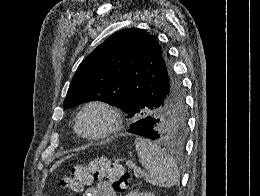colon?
<instances>
[{
    "label": "colon",
    "mask_w": 260,
    "mask_h": 196,
    "mask_svg": "<svg viewBox=\"0 0 260 196\" xmlns=\"http://www.w3.org/2000/svg\"><path fill=\"white\" fill-rule=\"evenodd\" d=\"M129 177L125 165L108 159H96L88 165L75 168L74 172L61 180L62 185L78 189L93 182H110L116 190L124 189Z\"/></svg>",
    "instance_id": "5ec220e1"
}]
</instances>
